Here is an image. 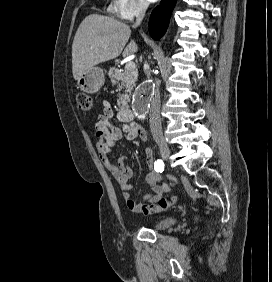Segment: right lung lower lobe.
Instances as JSON below:
<instances>
[{"label":"right lung lower lobe","instance_id":"obj_1","mask_svg":"<svg viewBox=\"0 0 272 282\" xmlns=\"http://www.w3.org/2000/svg\"><path fill=\"white\" fill-rule=\"evenodd\" d=\"M175 3L176 0H162L160 6L152 11L149 20V32L153 39L159 40L166 32Z\"/></svg>","mask_w":272,"mask_h":282}]
</instances>
